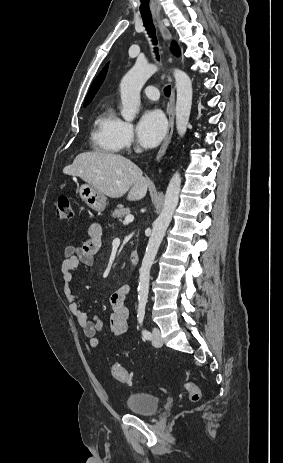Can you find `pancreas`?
Masks as SVG:
<instances>
[{"label":"pancreas","mask_w":283,"mask_h":463,"mask_svg":"<svg viewBox=\"0 0 283 463\" xmlns=\"http://www.w3.org/2000/svg\"><path fill=\"white\" fill-rule=\"evenodd\" d=\"M130 213L129 208H125L123 205H118L117 208L112 212V217L121 220L124 216Z\"/></svg>","instance_id":"obj_1"}]
</instances>
